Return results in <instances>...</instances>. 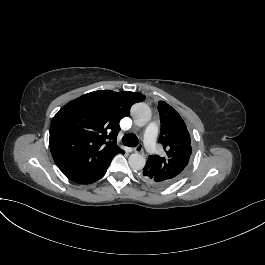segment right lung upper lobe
I'll use <instances>...</instances> for the list:
<instances>
[{
    "mask_svg": "<svg viewBox=\"0 0 265 265\" xmlns=\"http://www.w3.org/2000/svg\"><path fill=\"white\" fill-rule=\"evenodd\" d=\"M145 96L136 92L94 91L72 100L54 116L49 145L58 168L72 181L90 184L124 150L116 144L119 122Z\"/></svg>",
    "mask_w": 265,
    "mask_h": 265,
    "instance_id": "obj_1",
    "label": "right lung upper lobe"
}]
</instances>
